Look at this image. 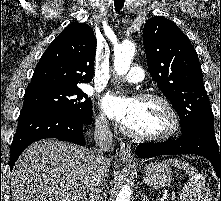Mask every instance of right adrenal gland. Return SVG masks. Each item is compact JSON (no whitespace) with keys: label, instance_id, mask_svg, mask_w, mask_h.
Here are the masks:
<instances>
[{"label":"right adrenal gland","instance_id":"obj_1","mask_svg":"<svg viewBox=\"0 0 221 201\" xmlns=\"http://www.w3.org/2000/svg\"><path fill=\"white\" fill-rule=\"evenodd\" d=\"M84 201H88V198L85 197V198H84Z\"/></svg>","mask_w":221,"mask_h":201}]
</instances>
